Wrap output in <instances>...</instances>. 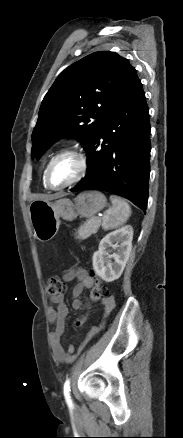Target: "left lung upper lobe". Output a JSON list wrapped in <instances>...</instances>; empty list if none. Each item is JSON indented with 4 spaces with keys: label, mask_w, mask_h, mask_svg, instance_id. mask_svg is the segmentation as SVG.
I'll return each mask as SVG.
<instances>
[{
    "label": "left lung upper lobe",
    "mask_w": 183,
    "mask_h": 438,
    "mask_svg": "<svg viewBox=\"0 0 183 438\" xmlns=\"http://www.w3.org/2000/svg\"><path fill=\"white\" fill-rule=\"evenodd\" d=\"M137 78L135 68L115 52H95L70 65L41 103L32 133L33 156L40 157L62 134L77 138L86 149Z\"/></svg>",
    "instance_id": "left-lung-upper-lobe-1"
}]
</instances>
